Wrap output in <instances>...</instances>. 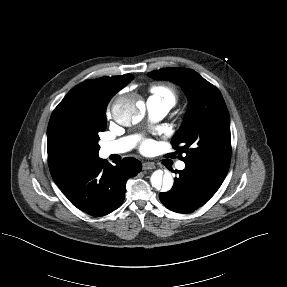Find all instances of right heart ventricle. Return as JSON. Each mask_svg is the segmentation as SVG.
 <instances>
[{
  "label": "right heart ventricle",
  "instance_id": "obj_1",
  "mask_svg": "<svg viewBox=\"0 0 287 287\" xmlns=\"http://www.w3.org/2000/svg\"><path fill=\"white\" fill-rule=\"evenodd\" d=\"M151 97L160 101L168 102L172 106L177 101V92L174 87L167 84H155L150 88Z\"/></svg>",
  "mask_w": 287,
  "mask_h": 287
}]
</instances>
